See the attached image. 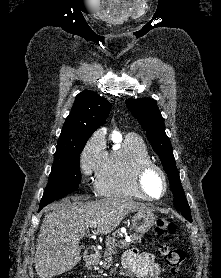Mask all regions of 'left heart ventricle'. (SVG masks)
I'll list each match as a JSON object with an SVG mask.
<instances>
[{"mask_svg": "<svg viewBox=\"0 0 221 278\" xmlns=\"http://www.w3.org/2000/svg\"><path fill=\"white\" fill-rule=\"evenodd\" d=\"M146 186L152 196H159L162 193L163 186L160 176L156 172H151L146 177Z\"/></svg>", "mask_w": 221, "mask_h": 278, "instance_id": "left-heart-ventricle-1", "label": "left heart ventricle"}]
</instances>
